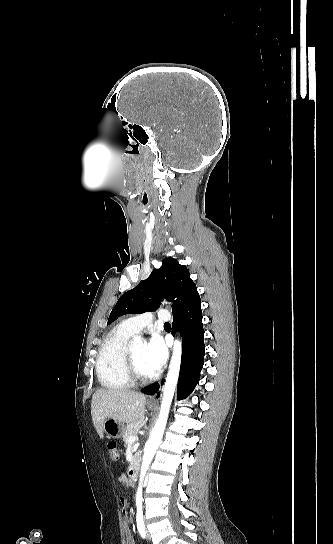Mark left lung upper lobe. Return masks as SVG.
<instances>
[{
	"mask_svg": "<svg viewBox=\"0 0 333 544\" xmlns=\"http://www.w3.org/2000/svg\"><path fill=\"white\" fill-rule=\"evenodd\" d=\"M164 298L173 302V314L200 300L189 270L174 258L164 259L159 269H154L146 280L125 292L111 311L108 324L124 314L155 311Z\"/></svg>",
	"mask_w": 333,
	"mask_h": 544,
	"instance_id": "obj_1",
	"label": "left lung upper lobe"
}]
</instances>
